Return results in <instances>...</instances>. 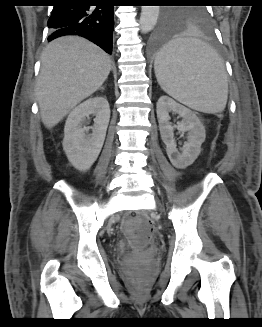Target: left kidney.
<instances>
[{"label":"left kidney","instance_id":"obj_1","mask_svg":"<svg viewBox=\"0 0 262 327\" xmlns=\"http://www.w3.org/2000/svg\"><path fill=\"white\" fill-rule=\"evenodd\" d=\"M179 114L183 119L178 123L180 131L188 132V140L179 153L174 139V127L169 122V112ZM161 138L166 145V152L172 165L178 169L190 166L199 156L201 145L205 141L206 131L202 122L190 109L175 102L168 96H161L156 105Z\"/></svg>","mask_w":262,"mask_h":327}]
</instances>
